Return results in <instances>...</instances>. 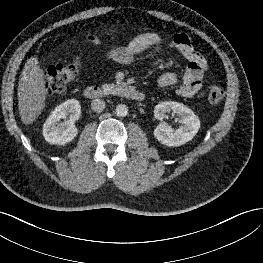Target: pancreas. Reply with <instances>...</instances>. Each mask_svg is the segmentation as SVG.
Segmentation results:
<instances>
[{"label":"pancreas","mask_w":263,"mask_h":263,"mask_svg":"<svg viewBox=\"0 0 263 263\" xmlns=\"http://www.w3.org/2000/svg\"><path fill=\"white\" fill-rule=\"evenodd\" d=\"M102 89L105 95H109L117 93L122 89V87L117 84H103Z\"/></svg>","instance_id":"1"}]
</instances>
